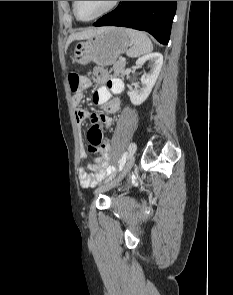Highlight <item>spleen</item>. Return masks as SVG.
Wrapping results in <instances>:
<instances>
[{
	"mask_svg": "<svg viewBox=\"0 0 233 295\" xmlns=\"http://www.w3.org/2000/svg\"><path fill=\"white\" fill-rule=\"evenodd\" d=\"M126 32L133 44L127 51V56L135 58L153 50L152 42L146 33L130 28H126Z\"/></svg>",
	"mask_w": 233,
	"mask_h": 295,
	"instance_id": "obj_1",
	"label": "spleen"
}]
</instances>
